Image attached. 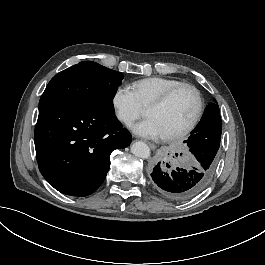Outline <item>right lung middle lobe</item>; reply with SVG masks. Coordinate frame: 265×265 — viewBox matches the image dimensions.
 Wrapping results in <instances>:
<instances>
[{
  "label": "right lung middle lobe",
  "mask_w": 265,
  "mask_h": 265,
  "mask_svg": "<svg viewBox=\"0 0 265 265\" xmlns=\"http://www.w3.org/2000/svg\"><path fill=\"white\" fill-rule=\"evenodd\" d=\"M123 75L91 61L80 62L55 75L40 101L51 99L113 115L112 99Z\"/></svg>",
  "instance_id": "1"
}]
</instances>
